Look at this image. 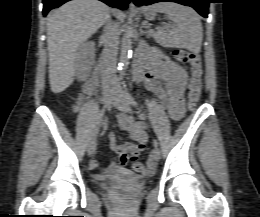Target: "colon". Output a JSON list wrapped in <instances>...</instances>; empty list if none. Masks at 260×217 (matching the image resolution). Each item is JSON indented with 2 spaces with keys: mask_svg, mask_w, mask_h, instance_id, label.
<instances>
[{
  "mask_svg": "<svg viewBox=\"0 0 260 217\" xmlns=\"http://www.w3.org/2000/svg\"><path fill=\"white\" fill-rule=\"evenodd\" d=\"M174 57L177 61L189 64L191 69V79L189 83V101L188 108L194 110L200 101L202 91V74L203 67L201 57L196 52L177 50L174 52ZM133 169L138 173L146 171V166L143 163L135 162Z\"/></svg>",
  "mask_w": 260,
  "mask_h": 217,
  "instance_id": "obj_1",
  "label": "colon"
}]
</instances>
